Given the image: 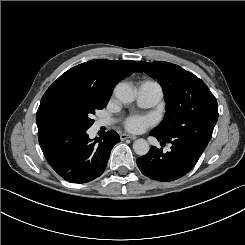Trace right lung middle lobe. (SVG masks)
I'll list each match as a JSON object with an SVG mask.
<instances>
[{
  "mask_svg": "<svg viewBox=\"0 0 245 245\" xmlns=\"http://www.w3.org/2000/svg\"><path fill=\"white\" fill-rule=\"evenodd\" d=\"M107 103L89 94H62L47 109V127L88 129L94 123L92 114Z\"/></svg>",
  "mask_w": 245,
  "mask_h": 245,
  "instance_id": "1",
  "label": "right lung middle lobe"
}]
</instances>
